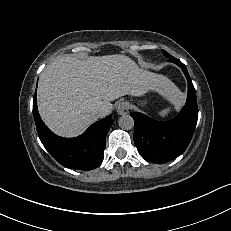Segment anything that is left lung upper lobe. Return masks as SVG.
<instances>
[{
  "label": "left lung upper lobe",
  "mask_w": 231,
  "mask_h": 231,
  "mask_svg": "<svg viewBox=\"0 0 231 231\" xmlns=\"http://www.w3.org/2000/svg\"><path fill=\"white\" fill-rule=\"evenodd\" d=\"M163 54L168 57L169 59L173 58V56H171L169 53H167L166 51L162 50Z\"/></svg>",
  "instance_id": "left-lung-upper-lobe-1"
}]
</instances>
